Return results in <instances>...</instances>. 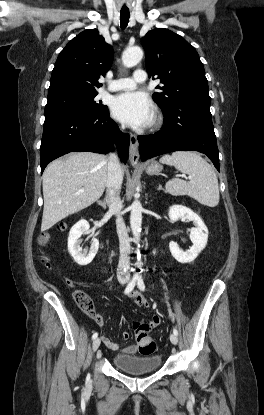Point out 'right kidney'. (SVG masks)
<instances>
[{"instance_id":"right-kidney-1","label":"right kidney","mask_w":264,"mask_h":415,"mask_svg":"<svg viewBox=\"0 0 264 415\" xmlns=\"http://www.w3.org/2000/svg\"><path fill=\"white\" fill-rule=\"evenodd\" d=\"M89 228V223L86 220L81 219L71 228L69 232L68 251L74 261L81 266L90 264L96 256L99 248V241L96 238H93L89 251L82 250V247L80 246V238L83 233L88 232Z\"/></svg>"}]
</instances>
